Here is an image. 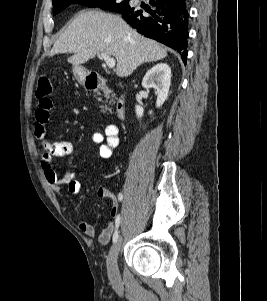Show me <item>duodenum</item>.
Listing matches in <instances>:
<instances>
[{
    "instance_id": "obj_1",
    "label": "duodenum",
    "mask_w": 267,
    "mask_h": 301,
    "mask_svg": "<svg viewBox=\"0 0 267 301\" xmlns=\"http://www.w3.org/2000/svg\"><path fill=\"white\" fill-rule=\"evenodd\" d=\"M84 81L85 87L91 91L100 90L104 93H110L113 89V87L109 83H106L98 75L87 74L84 77ZM115 88L121 89L122 85L116 84ZM116 114L120 120L124 119L125 117L126 101L123 95H119V97L116 100Z\"/></svg>"
}]
</instances>
